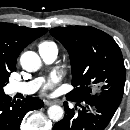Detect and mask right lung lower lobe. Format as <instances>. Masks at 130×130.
Segmentation results:
<instances>
[{
    "label": "right lung lower lobe",
    "mask_w": 130,
    "mask_h": 130,
    "mask_svg": "<svg viewBox=\"0 0 130 130\" xmlns=\"http://www.w3.org/2000/svg\"><path fill=\"white\" fill-rule=\"evenodd\" d=\"M43 101L28 96L23 100L11 101V98L0 92V130H20V124L24 115L40 109Z\"/></svg>",
    "instance_id": "obj_1"
}]
</instances>
